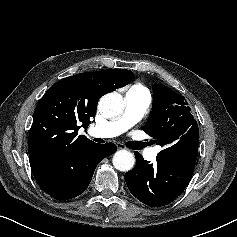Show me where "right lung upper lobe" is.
<instances>
[{"label":"right lung upper lobe","mask_w":237,"mask_h":237,"mask_svg":"<svg viewBox=\"0 0 237 237\" xmlns=\"http://www.w3.org/2000/svg\"><path fill=\"white\" fill-rule=\"evenodd\" d=\"M132 77V71L111 69L80 73L53 84L34 112L28 139L31 167L89 142L86 136H78L79 124L88 125L100 97L126 85Z\"/></svg>","instance_id":"cb5924a9"}]
</instances>
